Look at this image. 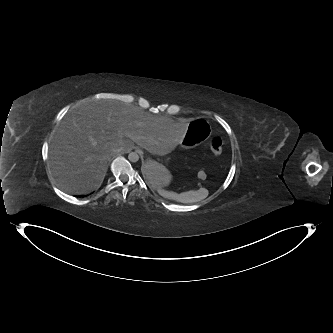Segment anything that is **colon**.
Instances as JSON below:
<instances>
[{"label":"colon","mask_w":333,"mask_h":333,"mask_svg":"<svg viewBox=\"0 0 333 333\" xmlns=\"http://www.w3.org/2000/svg\"><path fill=\"white\" fill-rule=\"evenodd\" d=\"M222 139L218 135H214L210 141V150L213 155L219 156L222 153ZM200 178H205V173L203 171L199 172Z\"/></svg>","instance_id":"1"}]
</instances>
